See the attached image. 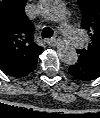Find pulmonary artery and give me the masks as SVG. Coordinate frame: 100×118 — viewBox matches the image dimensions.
I'll return each mask as SVG.
<instances>
[{"mask_svg":"<svg viewBox=\"0 0 100 118\" xmlns=\"http://www.w3.org/2000/svg\"><path fill=\"white\" fill-rule=\"evenodd\" d=\"M61 31L63 32L65 39L73 46L77 47L82 43L83 35L73 27L64 25L61 27Z\"/></svg>","mask_w":100,"mask_h":118,"instance_id":"e3ab8cb5","label":"pulmonary artery"}]
</instances>
